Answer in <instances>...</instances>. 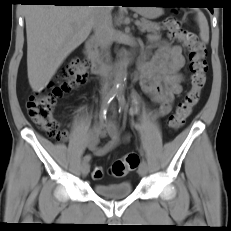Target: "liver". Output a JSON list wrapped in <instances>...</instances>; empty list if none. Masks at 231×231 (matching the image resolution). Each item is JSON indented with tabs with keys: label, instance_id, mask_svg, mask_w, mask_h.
<instances>
[{
	"label": "liver",
	"instance_id": "obj_1",
	"mask_svg": "<svg viewBox=\"0 0 231 231\" xmlns=\"http://www.w3.org/2000/svg\"><path fill=\"white\" fill-rule=\"evenodd\" d=\"M95 6L27 5V72L34 92H41L64 60L89 36Z\"/></svg>",
	"mask_w": 231,
	"mask_h": 231
}]
</instances>
